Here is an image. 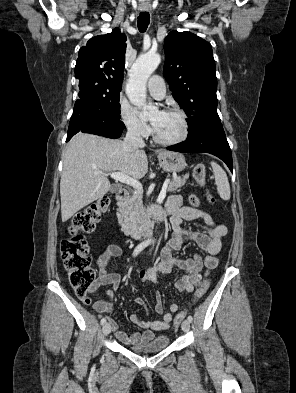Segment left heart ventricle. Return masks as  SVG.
<instances>
[{
	"label": "left heart ventricle",
	"mask_w": 296,
	"mask_h": 393,
	"mask_svg": "<svg viewBox=\"0 0 296 393\" xmlns=\"http://www.w3.org/2000/svg\"><path fill=\"white\" fill-rule=\"evenodd\" d=\"M157 135L165 140L178 138L183 130L179 115L167 112H155L150 118Z\"/></svg>",
	"instance_id": "left-heart-ventricle-1"
}]
</instances>
